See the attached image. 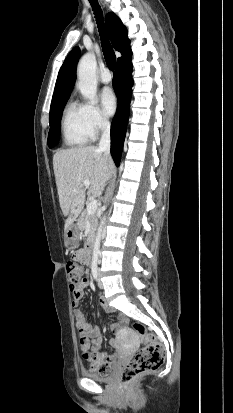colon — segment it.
Listing matches in <instances>:
<instances>
[{
    "instance_id": "colon-1",
    "label": "colon",
    "mask_w": 233,
    "mask_h": 413,
    "mask_svg": "<svg viewBox=\"0 0 233 413\" xmlns=\"http://www.w3.org/2000/svg\"><path fill=\"white\" fill-rule=\"evenodd\" d=\"M67 272L73 291L83 282L84 270L80 264L76 265L74 261H70L67 264ZM133 329L142 338L144 345L123 368L120 375L123 383H129L138 376L159 368L164 361V348L155 335L148 332L140 323L134 324ZM84 356L87 357V355ZM95 362L96 366L93 365V368L97 372L102 374L109 372V363L106 362V358L99 355L95 358Z\"/></svg>"
}]
</instances>
